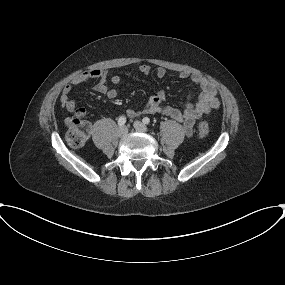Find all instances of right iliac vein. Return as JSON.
<instances>
[{
  "label": "right iliac vein",
  "instance_id": "obj_1",
  "mask_svg": "<svg viewBox=\"0 0 285 285\" xmlns=\"http://www.w3.org/2000/svg\"><path fill=\"white\" fill-rule=\"evenodd\" d=\"M117 133H118V136H119V137H124V136L127 135L128 129H127V127H125V126H121V127L118 128Z\"/></svg>",
  "mask_w": 285,
  "mask_h": 285
}]
</instances>
